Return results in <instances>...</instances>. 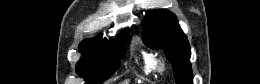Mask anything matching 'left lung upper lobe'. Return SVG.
I'll return each instance as SVG.
<instances>
[{
	"label": "left lung upper lobe",
	"instance_id": "1",
	"mask_svg": "<svg viewBox=\"0 0 260 84\" xmlns=\"http://www.w3.org/2000/svg\"><path fill=\"white\" fill-rule=\"evenodd\" d=\"M142 39L147 47L163 49L173 64L177 84H192L190 46L176 16L165 10H153L143 20Z\"/></svg>",
	"mask_w": 260,
	"mask_h": 84
}]
</instances>
